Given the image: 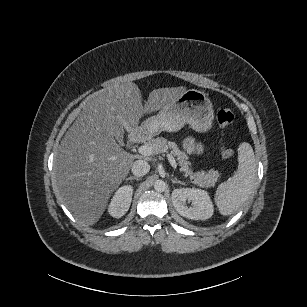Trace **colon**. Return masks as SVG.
Returning a JSON list of instances; mask_svg holds the SVG:
<instances>
[{
  "mask_svg": "<svg viewBox=\"0 0 307 307\" xmlns=\"http://www.w3.org/2000/svg\"><path fill=\"white\" fill-rule=\"evenodd\" d=\"M219 125L222 129L229 126L234 120V114L229 109H221L217 115ZM221 155L224 158H231L234 155V150L232 148L226 147L222 145L221 147Z\"/></svg>",
  "mask_w": 307,
  "mask_h": 307,
  "instance_id": "5ec220e1",
  "label": "colon"
}]
</instances>
